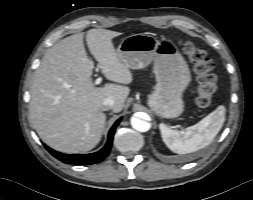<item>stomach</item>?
Listing matches in <instances>:
<instances>
[{
	"instance_id": "obj_1",
	"label": "stomach",
	"mask_w": 253,
	"mask_h": 200,
	"mask_svg": "<svg viewBox=\"0 0 253 200\" xmlns=\"http://www.w3.org/2000/svg\"><path fill=\"white\" fill-rule=\"evenodd\" d=\"M116 54L129 69H142L154 61L157 83L148 98L149 107L163 118H176L182 114V93L190 83L191 75L176 46L147 34H133L121 41Z\"/></svg>"
}]
</instances>
